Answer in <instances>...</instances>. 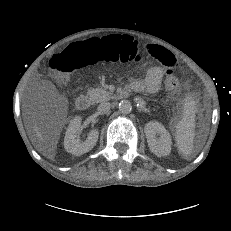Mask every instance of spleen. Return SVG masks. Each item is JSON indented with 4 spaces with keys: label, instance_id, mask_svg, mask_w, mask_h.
<instances>
[{
    "label": "spleen",
    "instance_id": "3e777b00",
    "mask_svg": "<svg viewBox=\"0 0 231 231\" xmlns=\"http://www.w3.org/2000/svg\"><path fill=\"white\" fill-rule=\"evenodd\" d=\"M195 101L187 95L183 104L182 119L175 125V139L179 153L185 157L192 154L195 138Z\"/></svg>",
    "mask_w": 231,
    "mask_h": 231
}]
</instances>
